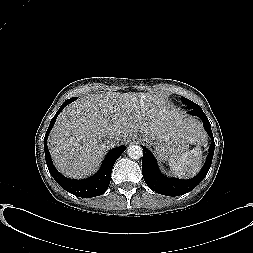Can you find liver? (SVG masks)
I'll use <instances>...</instances> for the list:
<instances>
[{"label":"liver","instance_id":"obj_1","mask_svg":"<svg viewBox=\"0 0 253 253\" xmlns=\"http://www.w3.org/2000/svg\"><path fill=\"white\" fill-rule=\"evenodd\" d=\"M141 132L152 139L178 135L191 144L204 142L199 120L169 105L153 93L108 91L80 97L57 117L48 147L57 169L65 176L83 178L94 173L120 133L121 144Z\"/></svg>","mask_w":253,"mask_h":253}]
</instances>
